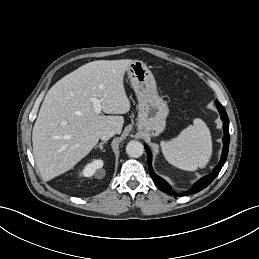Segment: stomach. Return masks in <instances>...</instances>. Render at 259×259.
Returning a JSON list of instances; mask_svg holds the SVG:
<instances>
[{"label":"stomach","instance_id":"stomach-1","mask_svg":"<svg viewBox=\"0 0 259 259\" xmlns=\"http://www.w3.org/2000/svg\"><path fill=\"white\" fill-rule=\"evenodd\" d=\"M127 75L138 100V129L151 136L159 135L165 129L169 109L158 94L152 72L145 63L134 60Z\"/></svg>","mask_w":259,"mask_h":259}]
</instances>
